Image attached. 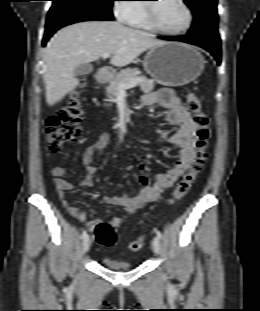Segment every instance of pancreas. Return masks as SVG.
I'll list each match as a JSON object with an SVG mask.
<instances>
[{"instance_id": "1", "label": "pancreas", "mask_w": 260, "mask_h": 311, "mask_svg": "<svg viewBox=\"0 0 260 311\" xmlns=\"http://www.w3.org/2000/svg\"><path fill=\"white\" fill-rule=\"evenodd\" d=\"M140 71L138 69H124L112 78L109 85L106 87V93L110 99H113L119 92V86L125 84L132 79L140 77L142 81L139 83L141 91L149 93L154 89V80L147 79L144 76H139Z\"/></svg>"}]
</instances>
